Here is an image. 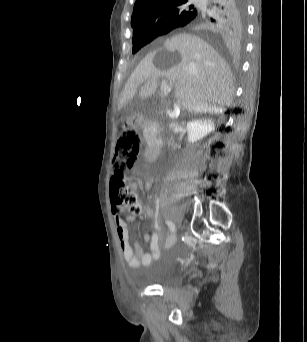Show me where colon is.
I'll use <instances>...</instances> for the list:
<instances>
[{"label":"colon","mask_w":307,"mask_h":342,"mask_svg":"<svg viewBox=\"0 0 307 342\" xmlns=\"http://www.w3.org/2000/svg\"><path fill=\"white\" fill-rule=\"evenodd\" d=\"M142 138L134 130L124 131L118 139L117 148L114 154V174L110 192L113 204L120 208L122 205L128 207V219L134 218L141 212V204L136 196L128 190L125 185V175L131 172L137 165L141 149ZM123 192V202H116V192Z\"/></svg>","instance_id":"5ec220e1"}]
</instances>
